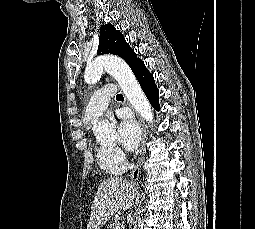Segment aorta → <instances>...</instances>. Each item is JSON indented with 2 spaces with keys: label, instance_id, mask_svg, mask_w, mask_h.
Wrapping results in <instances>:
<instances>
[{
  "label": "aorta",
  "instance_id": "1",
  "mask_svg": "<svg viewBox=\"0 0 255 229\" xmlns=\"http://www.w3.org/2000/svg\"><path fill=\"white\" fill-rule=\"evenodd\" d=\"M103 70L114 77L139 115L152 124L153 113L151 105L128 64L118 57L106 56L96 58L86 67L84 74L85 82L88 84L96 83L100 80ZM94 134L100 142H111L118 139V134L106 120L98 123L94 129Z\"/></svg>",
  "mask_w": 255,
  "mask_h": 229
}]
</instances>
